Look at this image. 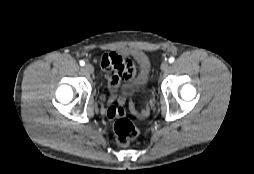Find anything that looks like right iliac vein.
Masks as SVG:
<instances>
[{
  "mask_svg": "<svg viewBox=\"0 0 254 174\" xmlns=\"http://www.w3.org/2000/svg\"><path fill=\"white\" fill-rule=\"evenodd\" d=\"M84 70H85V72H87L89 74L94 73V67L89 63L84 65Z\"/></svg>",
  "mask_w": 254,
  "mask_h": 174,
  "instance_id": "obj_1",
  "label": "right iliac vein"
}]
</instances>
